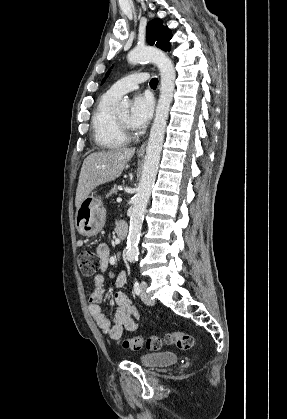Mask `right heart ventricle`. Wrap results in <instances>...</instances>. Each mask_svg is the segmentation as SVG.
<instances>
[{"mask_svg":"<svg viewBox=\"0 0 287 419\" xmlns=\"http://www.w3.org/2000/svg\"><path fill=\"white\" fill-rule=\"evenodd\" d=\"M118 99L103 94L93 111L91 128L94 142L103 149H114L125 144L126 140L121 136L114 123L113 105Z\"/></svg>","mask_w":287,"mask_h":419,"instance_id":"e07e8e85","label":"right heart ventricle"}]
</instances>
